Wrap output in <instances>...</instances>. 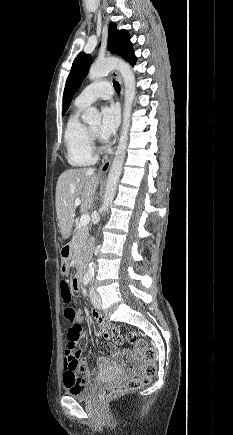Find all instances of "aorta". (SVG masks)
I'll list each match as a JSON object with an SVG mask.
<instances>
[{"label": "aorta", "mask_w": 233, "mask_h": 435, "mask_svg": "<svg viewBox=\"0 0 233 435\" xmlns=\"http://www.w3.org/2000/svg\"><path fill=\"white\" fill-rule=\"evenodd\" d=\"M114 69H117L123 78L124 86H125V102H124L123 126H122L121 136L108 174L106 192L102 205V209L104 213H108L109 208L112 205L117 190V184L120 179V175L124 164L127 141H128V131L130 127L132 104L136 94L135 76L130 66L127 63L115 58H107L104 60L96 61L90 67L89 74H88L89 79L95 80L106 76L109 72H111ZM82 118L88 124H100L101 122V114L94 107L88 108L84 112ZM93 277H94V263L91 262L88 266L87 272L85 274V278L88 280H92Z\"/></svg>", "instance_id": "obj_1"}]
</instances>
